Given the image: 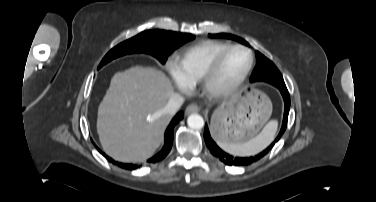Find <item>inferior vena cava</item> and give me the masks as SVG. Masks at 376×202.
<instances>
[{"mask_svg":"<svg viewBox=\"0 0 376 202\" xmlns=\"http://www.w3.org/2000/svg\"><path fill=\"white\" fill-rule=\"evenodd\" d=\"M184 99L179 95H173L166 106L163 108V113L169 116H173L177 110L181 107L183 104Z\"/></svg>","mask_w":376,"mask_h":202,"instance_id":"1","label":"inferior vena cava"}]
</instances>
